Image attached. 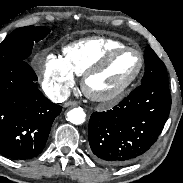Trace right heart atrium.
<instances>
[{
  "mask_svg": "<svg viewBox=\"0 0 183 183\" xmlns=\"http://www.w3.org/2000/svg\"><path fill=\"white\" fill-rule=\"evenodd\" d=\"M36 68L44 89L55 99L65 98L74 86L73 73L60 56L47 54L42 57L41 62H36Z\"/></svg>",
  "mask_w": 183,
  "mask_h": 183,
  "instance_id": "right-heart-atrium-1",
  "label": "right heart atrium"
}]
</instances>
